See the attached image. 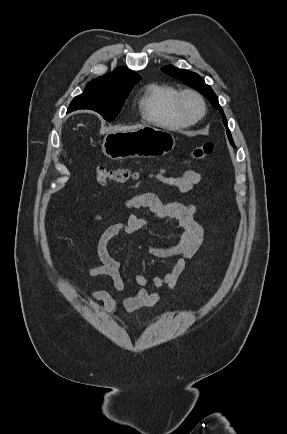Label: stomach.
<instances>
[{"label":"stomach","instance_id":"obj_1","mask_svg":"<svg viewBox=\"0 0 287 434\" xmlns=\"http://www.w3.org/2000/svg\"><path fill=\"white\" fill-rule=\"evenodd\" d=\"M175 146L174 136L154 126L131 131H110L104 137L102 152L112 160L150 158L165 155Z\"/></svg>","mask_w":287,"mask_h":434}]
</instances>
